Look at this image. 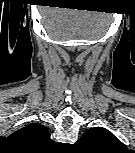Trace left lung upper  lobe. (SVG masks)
<instances>
[{
	"instance_id": "5c2ea615",
	"label": "left lung upper lobe",
	"mask_w": 135,
	"mask_h": 153,
	"mask_svg": "<svg viewBox=\"0 0 135 153\" xmlns=\"http://www.w3.org/2000/svg\"><path fill=\"white\" fill-rule=\"evenodd\" d=\"M76 144L90 153H122L126 149L116 136L103 127L86 130Z\"/></svg>"
}]
</instances>
